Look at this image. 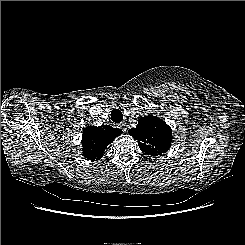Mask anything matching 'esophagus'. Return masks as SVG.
I'll list each match as a JSON object with an SVG mask.
<instances>
[{"label": "esophagus", "mask_w": 245, "mask_h": 245, "mask_svg": "<svg viewBox=\"0 0 245 245\" xmlns=\"http://www.w3.org/2000/svg\"><path fill=\"white\" fill-rule=\"evenodd\" d=\"M118 127H119L123 132H126V125H125V123H120V124H118Z\"/></svg>", "instance_id": "1"}]
</instances>
